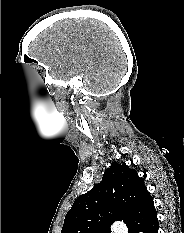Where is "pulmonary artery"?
I'll list each match as a JSON object with an SVG mask.
<instances>
[{"mask_svg":"<svg viewBox=\"0 0 184 233\" xmlns=\"http://www.w3.org/2000/svg\"><path fill=\"white\" fill-rule=\"evenodd\" d=\"M114 233H127V228L122 222H116L113 227Z\"/></svg>","mask_w":184,"mask_h":233,"instance_id":"1","label":"pulmonary artery"}]
</instances>
